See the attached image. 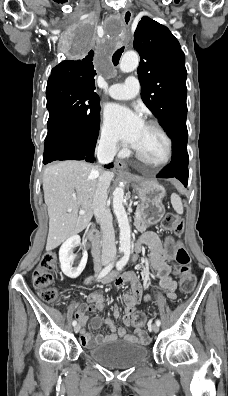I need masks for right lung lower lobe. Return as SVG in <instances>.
Instances as JSON below:
<instances>
[{"instance_id":"98d812e1","label":"right lung lower lobe","mask_w":228,"mask_h":396,"mask_svg":"<svg viewBox=\"0 0 228 396\" xmlns=\"http://www.w3.org/2000/svg\"><path fill=\"white\" fill-rule=\"evenodd\" d=\"M96 144L94 148L84 152L71 138L64 134L54 133L47 135L44 145L43 163L47 164L54 160H84L94 162ZM105 167L110 168L112 164Z\"/></svg>"}]
</instances>
